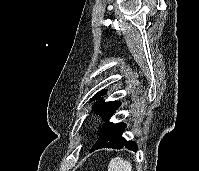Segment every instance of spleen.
I'll return each mask as SVG.
<instances>
[{
  "mask_svg": "<svg viewBox=\"0 0 199 171\" xmlns=\"http://www.w3.org/2000/svg\"><path fill=\"white\" fill-rule=\"evenodd\" d=\"M108 171H132V165L129 161L123 160L121 157H116L111 159Z\"/></svg>",
  "mask_w": 199,
  "mask_h": 171,
  "instance_id": "3e777b00",
  "label": "spleen"
}]
</instances>
